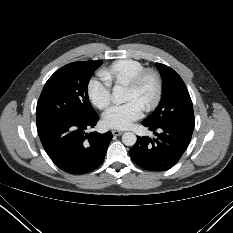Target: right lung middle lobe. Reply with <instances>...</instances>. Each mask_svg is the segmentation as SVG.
Segmentation results:
<instances>
[{"label":"right lung middle lobe","instance_id":"dd1d6c3e","mask_svg":"<svg viewBox=\"0 0 233 233\" xmlns=\"http://www.w3.org/2000/svg\"><path fill=\"white\" fill-rule=\"evenodd\" d=\"M102 61H83L67 64L46 82L39 97L37 125L49 120H80L95 114L87 87L94 71Z\"/></svg>","mask_w":233,"mask_h":233}]
</instances>
